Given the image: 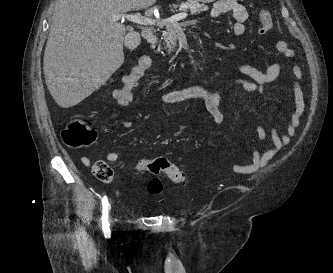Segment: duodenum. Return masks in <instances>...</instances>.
<instances>
[{
    "label": "duodenum",
    "mask_w": 333,
    "mask_h": 273,
    "mask_svg": "<svg viewBox=\"0 0 333 273\" xmlns=\"http://www.w3.org/2000/svg\"><path fill=\"white\" fill-rule=\"evenodd\" d=\"M141 34H142V37L150 43H153L156 41V36L151 29H143Z\"/></svg>",
    "instance_id": "410a0bca"
}]
</instances>
